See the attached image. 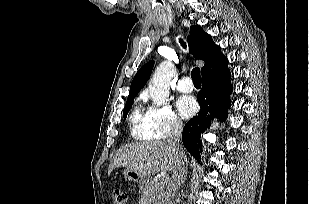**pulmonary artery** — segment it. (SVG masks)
Returning a JSON list of instances; mask_svg holds the SVG:
<instances>
[{
	"label": "pulmonary artery",
	"instance_id": "1",
	"mask_svg": "<svg viewBox=\"0 0 309 204\" xmlns=\"http://www.w3.org/2000/svg\"><path fill=\"white\" fill-rule=\"evenodd\" d=\"M177 89L178 91L183 92V93L192 92L194 89V85H193L191 78L187 76L181 78L179 82L177 83Z\"/></svg>",
	"mask_w": 309,
	"mask_h": 204
}]
</instances>
